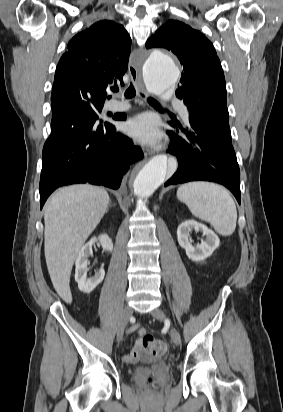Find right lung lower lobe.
<instances>
[{
  "instance_id": "98d812e1",
  "label": "right lung lower lobe",
  "mask_w": 283,
  "mask_h": 412,
  "mask_svg": "<svg viewBox=\"0 0 283 412\" xmlns=\"http://www.w3.org/2000/svg\"><path fill=\"white\" fill-rule=\"evenodd\" d=\"M142 158L140 147L90 114L73 125L52 127L43 147L40 208L63 185L89 182L117 189L130 164Z\"/></svg>"
}]
</instances>
